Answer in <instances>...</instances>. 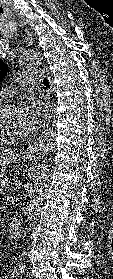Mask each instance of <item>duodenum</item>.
<instances>
[{"instance_id":"1","label":"duodenum","mask_w":113,"mask_h":279,"mask_svg":"<svg viewBox=\"0 0 113 279\" xmlns=\"http://www.w3.org/2000/svg\"><path fill=\"white\" fill-rule=\"evenodd\" d=\"M9 232L13 240L19 241L20 238V223L16 218H13L9 223Z\"/></svg>"}]
</instances>
